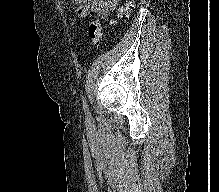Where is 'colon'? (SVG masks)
<instances>
[{"label":"colon","mask_w":219,"mask_h":192,"mask_svg":"<svg viewBox=\"0 0 219 192\" xmlns=\"http://www.w3.org/2000/svg\"><path fill=\"white\" fill-rule=\"evenodd\" d=\"M132 6H133V2L131 0L127 1L120 8V16L128 14L130 12ZM89 36H90L94 45H98L100 43V39L102 37V23L100 20L96 19L90 23Z\"/></svg>","instance_id":"colon-1"}]
</instances>
